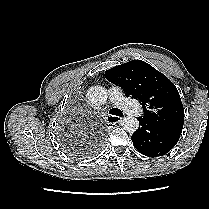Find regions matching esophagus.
Segmentation results:
<instances>
[{
  "label": "esophagus",
  "mask_w": 209,
  "mask_h": 209,
  "mask_svg": "<svg viewBox=\"0 0 209 209\" xmlns=\"http://www.w3.org/2000/svg\"><path fill=\"white\" fill-rule=\"evenodd\" d=\"M122 120V117L119 116H114V115H109L107 117V122L112 124V123H118Z\"/></svg>",
  "instance_id": "34e87169"
}]
</instances>
